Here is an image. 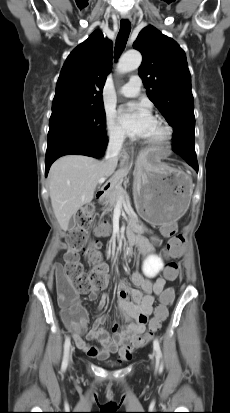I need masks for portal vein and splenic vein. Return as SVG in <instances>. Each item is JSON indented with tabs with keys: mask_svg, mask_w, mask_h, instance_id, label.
Here are the masks:
<instances>
[{
	"mask_svg": "<svg viewBox=\"0 0 230 413\" xmlns=\"http://www.w3.org/2000/svg\"><path fill=\"white\" fill-rule=\"evenodd\" d=\"M105 180H106V178H104V177H103V178H100L99 181H98V183H99V184H102V183L105 182ZM118 203H119V204H122V203L124 204V200H123L122 198H120V200L118 201Z\"/></svg>",
	"mask_w": 230,
	"mask_h": 413,
	"instance_id": "obj_1",
	"label": "portal vein and splenic vein"
}]
</instances>
